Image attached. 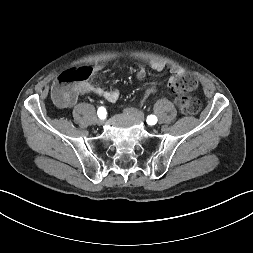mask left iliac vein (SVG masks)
<instances>
[{
    "label": "left iliac vein",
    "instance_id": "left-iliac-vein-1",
    "mask_svg": "<svg viewBox=\"0 0 253 253\" xmlns=\"http://www.w3.org/2000/svg\"><path fill=\"white\" fill-rule=\"evenodd\" d=\"M125 113H127L128 115L135 117L136 119L143 121L144 120V115L142 112H140L137 109L134 108H126L125 109Z\"/></svg>",
    "mask_w": 253,
    "mask_h": 253
}]
</instances>
